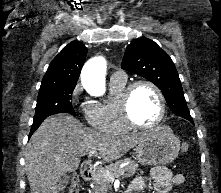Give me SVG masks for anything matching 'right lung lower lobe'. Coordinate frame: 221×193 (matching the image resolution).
Listing matches in <instances>:
<instances>
[{
    "mask_svg": "<svg viewBox=\"0 0 221 193\" xmlns=\"http://www.w3.org/2000/svg\"><path fill=\"white\" fill-rule=\"evenodd\" d=\"M43 120H44V119H43ZM43 120H40V121H37V122H33L29 137H31V135L34 133V131H35V130L40 126V124L43 122Z\"/></svg>",
    "mask_w": 221,
    "mask_h": 193,
    "instance_id": "98d812e1",
    "label": "right lung lower lobe"
}]
</instances>
